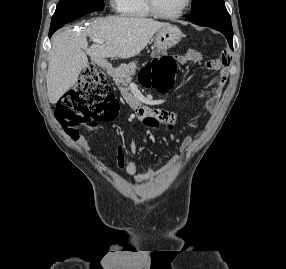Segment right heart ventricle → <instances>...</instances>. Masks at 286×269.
<instances>
[{"label":"right heart ventricle","mask_w":286,"mask_h":269,"mask_svg":"<svg viewBox=\"0 0 286 269\" xmlns=\"http://www.w3.org/2000/svg\"><path fill=\"white\" fill-rule=\"evenodd\" d=\"M116 9L124 17L134 19H145L152 16L145 0H116Z\"/></svg>","instance_id":"e07e8e85"}]
</instances>
